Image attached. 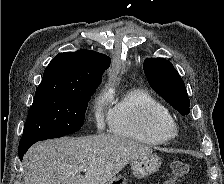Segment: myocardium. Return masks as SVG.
I'll return each mask as SVG.
<instances>
[{"mask_svg": "<svg viewBox=\"0 0 224 184\" xmlns=\"http://www.w3.org/2000/svg\"><path fill=\"white\" fill-rule=\"evenodd\" d=\"M162 130L167 134L169 138H172L176 136L178 133V126L176 123L172 120L171 122H168L162 126Z\"/></svg>", "mask_w": 224, "mask_h": 184, "instance_id": "obj_1", "label": "myocardium"}]
</instances>
